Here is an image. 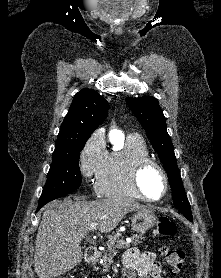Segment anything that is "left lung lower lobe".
Returning <instances> with one entry per match:
<instances>
[{"label": "left lung lower lobe", "mask_w": 221, "mask_h": 278, "mask_svg": "<svg viewBox=\"0 0 221 278\" xmlns=\"http://www.w3.org/2000/svg\"><path fill=\"white\" fill-rule=\"evenodd\" d=\"M186 218L190 221H192V214H184Z\"/></svg>", "instance_id": "left-lung-lower-lobe-1"}]
</instances>
